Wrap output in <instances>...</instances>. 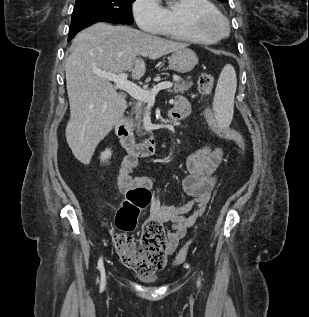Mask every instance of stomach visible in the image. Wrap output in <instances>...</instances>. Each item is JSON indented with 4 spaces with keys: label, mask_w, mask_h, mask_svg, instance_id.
<instances>
[{
    "label": "stomach",
    "mask_w": 309,
    "mask_h": 317,
    "mask_svg": "<svg viewBox=\"0 0 309 317\" xmlns=\"http://www.w3.org/2000/svg\"><path fill=\"white\" fill-rule=\"evenodd\" d=\"M169 67L178 73L190 72L198 63L196 53L189 49L183 48L174 51L168 58Z\"/></svg>",
    "instance_id": "1"
}]
</instances>
